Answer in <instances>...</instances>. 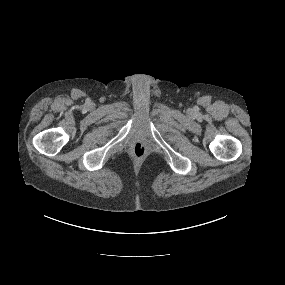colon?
Masks as SVG:
<instances>
[{"label":"colon","mask_w":285,"mask_h":285,"mask_svg":"<svg viewBox=\"0 0 285 285\" xmlns=\"http://www.w3.org/2000/svg\"><path fill=\"white\" fill-rule=\"evenodd\" d=\"M133 152L136 156H142L145 153V147L142 143L137 142L133 146Z\"/></svg>","instance_id":"5ec220e1"}]
</instances>
